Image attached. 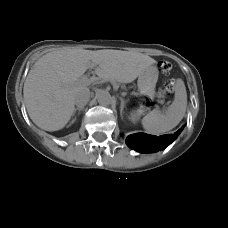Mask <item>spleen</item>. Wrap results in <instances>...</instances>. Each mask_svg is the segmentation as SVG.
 <instances>
[{
  "mask_svg": "<svg viewBox=\"0 0 228 228\" xmlns=\"http://www.w3.org/2000/svg\"><path fill=\"white\" fill-rule=\"evenodd\" d=\"M187 107V92L184 82L176 83L175 97L165 112L154 109L142 119L143 128L147 133L157 135L176 127L185 115Z\"/></svg>",
  "mask_w": 228,
  "mask_h": 228,
  "instance_id": "spleen-1",
  "label": "spleen"
}]
</instances>
